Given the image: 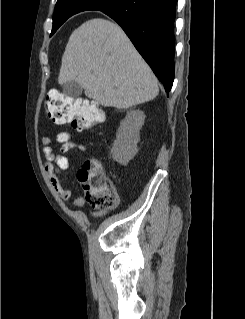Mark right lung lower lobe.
Returning a JSON list of instances; mask_svg holds the SVG:
<instances>
[{
  "label": "right lung lower lobe",
  "mask_w": 245,
  "mask_h": 319,
  "mask_svg": "<svg viewBox=\"0 0 245 319\" xmlns=\"http://www.w3.org/2000/svg\"><path fill=\"white\" fill-rule=\"evenodd\" d=\"M177 0H122L101 10L114 19L166 92L174 81V21Z\"/></svg>",
  "instance_id": "98d812e1"
}]
</instances>
